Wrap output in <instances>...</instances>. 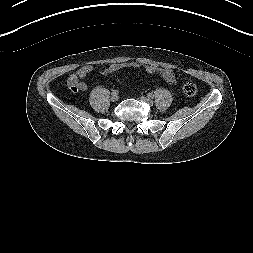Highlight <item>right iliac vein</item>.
<instances>
[{"label":"right iliac vein","mask_w":253,"mask_h":253,"mask_svg":"<svg viewBox=\"0 0 253 253\" xmlns=\"http://www.w3.org/2000/svg\"><path fill=\"white\" fill-rule=\"evenodd\" d=\"M118 99H119L118 94H113V95L111 96V101H113V102L117 101Z\"/></svg>","instance_id":"1"}]
</instances>
